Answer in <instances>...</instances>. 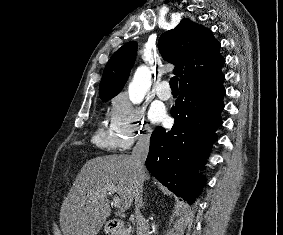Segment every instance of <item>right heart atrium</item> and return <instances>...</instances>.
I'll use <instances>...</instances> for the list:
<instances>
[{
	"label": "right heart atrium",
	"instance_id": "obj_1",
	"mask_svg": "<svg viewBox=\"0 0 283 235\" xmlns=\"http://www.w3.org/2000/svg\"><path fill=\"white\" fill-rule=\"evenodd\" d=\"M110 131L115 147L128 150L136 142H146L151 137V126L142 110L126 97H117L110 113Z\"/></svg>",
	"mask_w": 283,
	"mask_h": 235
}]
</instances>
